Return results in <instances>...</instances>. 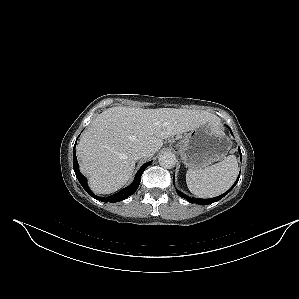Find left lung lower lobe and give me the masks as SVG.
<instances>
[{"label": "left lung lower lobe", "mask_w": 299, "mask_h": 299, "mask_svg": "<svg viewBox=\"0 0 299 299\" xmlns=\"http://www.w3.org/2000/svg\"><path fill=\"white\" fill-rule=\"evenodd\" d=\"M232 133V131H231ZM239 152L241 153L240 151V148H239ZM242 155V154H241ZM239 178L236 180V182L234 183V185L227 191L225 192L224 194L220 195V196H217V197H214V198H210V199H194V198H191V197H188L186 195H184L183 193H181L180 191L177 190V193L182 197V198H185L188 202L190 203H197V204H200V205H208V204H212L214 202H217L219 201L220 199H222L225 195H227L233 188L234 186L237 184Z\"/></svg>", "instance_id": "1"}]
</instances>
